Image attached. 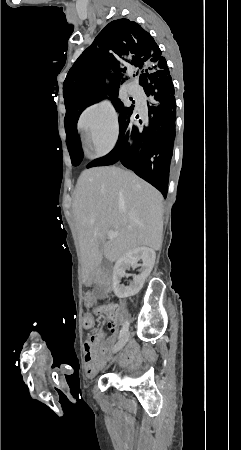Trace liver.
Returning <instances> with one entry per match:
<instances>
[{"label":"liver","instance_id":"obj_1","mask_svg":"<svg viewBox=\"0 0 241 450\" xmlns=\"http://www.w3.org/2000/svg\"><path fill=\"white\" fill-rule=\"evenodd\" d=\"M163 196L121 168H90L79 176L73 196L83 282L106 258L116 262L128 250H160ZM117 232L108 238V232ZM108 240V242H106Z\"/></svg>","mask_w":241,"mask_h":450}]
</instances>
